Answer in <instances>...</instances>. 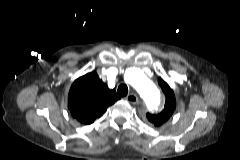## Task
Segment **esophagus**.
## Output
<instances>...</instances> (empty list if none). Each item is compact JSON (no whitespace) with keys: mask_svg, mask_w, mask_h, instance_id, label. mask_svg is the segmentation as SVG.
Instances as JSON below:
<instances>
[{"mask_svg":"<svg viewBox=\"0 0 240 160\" xmlns=\"http://www.w3.org/2000/svg\"><path fill=\"white\" fill-rule=\"evenodd\" d=\"M126 100L131 103V104H137L138 103V97L133 94V93H130L126 96Z\"/></svg>","mask_w":240,"mask_h":160,"instance_id":"1","label":"esophagus"}]
</instances>
